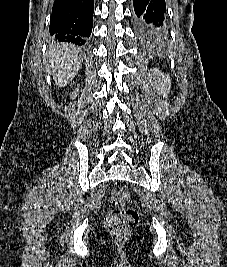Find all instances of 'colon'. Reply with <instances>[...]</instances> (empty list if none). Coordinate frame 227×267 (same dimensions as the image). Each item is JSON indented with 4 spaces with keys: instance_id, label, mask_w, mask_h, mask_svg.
Listing matches in <instances>:
<instances>
[{
    "instance_id": "obj_1",
    "label": "colon",
    "mask_w": 227,
    "mask_h": 267,
    "mask_svg": "<svg viewBox=\"0 0 227 267\" xmlns=\"http://www.w3.org/2000/svg\"><path fill=\"white\" fill-rule=\"evenodd\" d=\"M130 197L125 186L117 188L111 195L113 209L105 218V228L116 241H124L138 222V212L126 206Z\"/></svg>"
}]
</instances>
